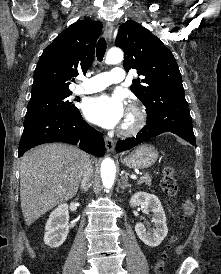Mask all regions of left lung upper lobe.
<instances>
[{
  "label": "left lung upper lobe",
  "instance_id": "5c2ea615",
  "mask_svg": "<svg viewBox=\"0 0 221 274\" xmlns=\"http://www.w3.org/2000/svg\"><path fill=\"white\" fill-rule=\"evenodd\" d=\"M115 45L124 51L123 66L136 69L131 91L145 105L147 113L185 100L182 77L171 51L148 29L135 21L123 23Z\"/></svg>",
  "mask_w": 221,
  "mask_h": 274
}]
</instances>
